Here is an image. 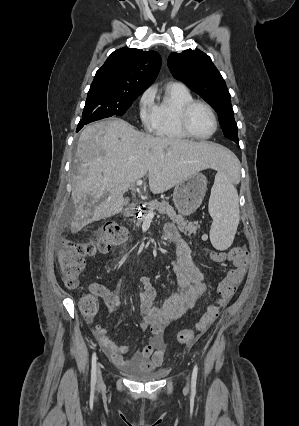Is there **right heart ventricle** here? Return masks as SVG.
<instances>
[{
	"label": "right heart ventricle",
	"mask_w": 299,
	"mask_h": 426,
	"mask_svg": "<svg viewBox=\"0 0 299 426\" xmlns=\"http://www.w3.org/2000/svg\"><path fill=\"white\" fill-rule=\"evenodd\" d=\"M194 98L183 84L171 82L167 84L156 104V136L169 140L189 138L181 129L180 113L183 106Z\"/></svg>",
	"instance_id": "1"
}]
</instances>
